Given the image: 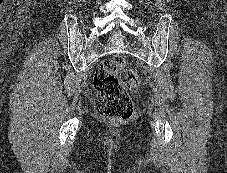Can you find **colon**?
<instances>
[{
  "instance_id": "1",
  "label": "colon",
  "mask_w": 227,
  "mask_h": 173,
  "mask_svg": "<svg viewBox=\"0 0 227 173\" xmlns=\"http://www.w3.org/2000/svg\"><path fill=\"white\" fill-rule=\"evenodd\" d=\"M140 82L139 74L126 67L121 57L100 62L93 79L97 114L107 119H129L134 111L129 91L137 89Z\"/></svg>"
}]
</instances>
